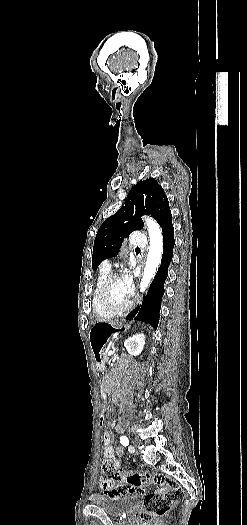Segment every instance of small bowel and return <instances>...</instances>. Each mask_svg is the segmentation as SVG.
Masks as SVG:
<instances>
[{
  "mask_svg": "<svg viewBox=\"0 0 247 525\" xmlns=\"http://www.w3.org/2000/svg\"><path fill=\"white\" fill-rule=\"evenodd\" d=\"M103 440V452L105 458L110 460L115 464V466L120 470H124V465L122 460L117 456V453L115 449L112 446V436L109 431H105L102 436ZM100 487L104 488L103 493L105 496L110 497L111 499H116L119 496H113L115 485L113 484L112 480L110 479H100L99 480Z\"/></svg>",
  "mask_w": 247,
  "mask_h": 525,
  "instance_id": "small-bowel-1",
  "label": "small bowel"
}]
</instances>
